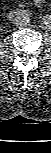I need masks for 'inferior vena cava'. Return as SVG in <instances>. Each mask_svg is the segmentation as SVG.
<instances>
[{
	"label": "inferior vena cava",
	"instance_id": "1",
	"mask_svg": "<svg viewBox=\"0 0 51 153\" xmlns=\"http://www.w3.org/2000/svg\"><path fill=\"white\" fill-rule=\"evenodd\" d=\"M29 22H30V19H29L28 16L20 14V15H18L14 18L13 23H14L15 26L23 27V26L28 25Z\"/></svg>",
	"mask_w": 51,
	"mask_h": 153
}]
</instances>
